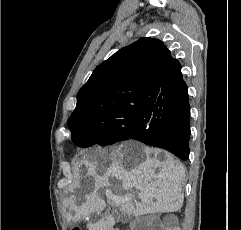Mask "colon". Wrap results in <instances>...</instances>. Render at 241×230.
Returning <instances> with one entry per match:
<instances>
[{"label": "colon", "mask_w": 241, "mask_h": 230, "mask_svg": "<svg viewBox=\"0 0 241 230\" xmlns=\"http://www.w3.org/2000/svg\"><path fill=\"white\" fill-rule=\"evenodd\" d=\"M73 230H78L77 228H74Z\"/></svg>", "instance_id": "colon-1"}]
</instances>
